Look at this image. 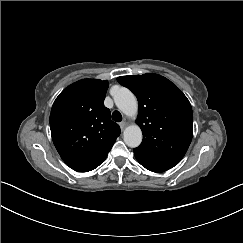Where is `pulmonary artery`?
Wrapping results in <instances>:
<instances>
[{
  "label": "pulmonary artery",
  "mask_w": 243,
  "mask_h": 243,
  "mask_svg": "<svg viewBox=\"0 0 243 243\" xmlns=\"http://www.w3.org/2000/svg\"><path fill=\"white\" fill-rule=\"evenodd\" d=\"M117 105H118L119 108L123 107V103L120 100L117 101Z\"/></svg>",
  "instance_id": "pulmonary-artery-1"
}]
</instances>
